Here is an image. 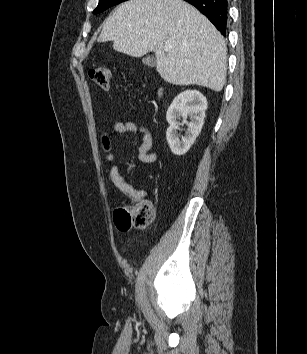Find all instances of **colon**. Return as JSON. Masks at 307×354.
Segmentation results:
<instances>
[{"label": "colon", "instance_id": "colon-1", "mask_svg": "<svg viewBox=\"0 0 307 354\" xmlns=\"http://www.w3.org/2000/svg\"><path fill=\"white\" fill-rule=\"evenodd\" d=\"M89 76L99 87L109 90L111 87V70L107 66H98L89 71ZM153 217L152 206L148 201L123 204L114 212V222L121 231L144 227Z\"/></svg>", "mask_w": 307, "mask_h": 354}]
</instances>
